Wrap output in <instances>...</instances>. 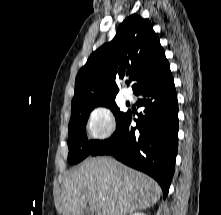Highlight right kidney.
Here are the masks:
<instances>
[{
	"instance_id": "obj_1",
	"label": "right kidney",
	"mask_w": 221,
	"mask_h": 215,
	"mask_svg": "<svg viewBox=\"0 0 221 215\" xmlns=\"http://www.w3.org/2000/svg\"><path fill=\"white\" fill-rule=\"evenodd\" d=\"M131 215H146V214L142 213V212H137V213H134V214H131Z\"/></svg>"
}]
</instances>
